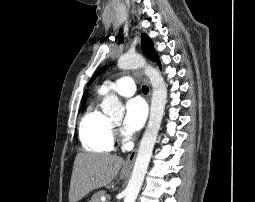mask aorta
I'll return each instance as SVG.
<instances>
[{"instance_id":"1","label":"aorta","mask_w":255,"mask_h":202,"mask_svg":"<svg viewBox=\"0 0 255 202\" xmlns=\"http://www.w3.org/2000/svg\"><path fill=\"white\" fill-rule=\"evenodd\" d=\"M118 67L120 69L144 68V73L152 85L151 110L148 125L139 145L130 181L125 189L124 202H135L143 184L160 130L167 99V87L160 72L152 66L147 65L141 55H122L118 60ZM101 106L103 112L111 118H122L124 115V106L114 94L106 96Z\"/></svg>"}]
</instances>
